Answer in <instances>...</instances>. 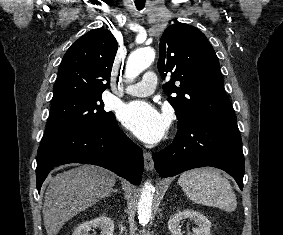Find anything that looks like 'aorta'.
<instances>
[{"label": "aorta", "instance_id": "1", "mask_svg": "<svg viewBox=\"0 0 283 235\" xmlns=\"http://www.w3.org/2000/svg\"><path fill=\"white\" fill-rule=\"evenodd\" d=\"M155 59V51L150 48H141L132 52L126 63L125 74L130 80L136 78L147 69ZM155 189L151 182H145L138 202V219L143 225L147 224L151 218L153 203V193Z\"/></svg>", "mask_w": 283, "mask_h": 235}]
</instances>
